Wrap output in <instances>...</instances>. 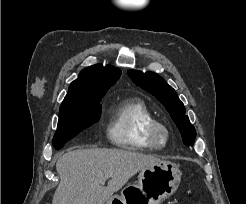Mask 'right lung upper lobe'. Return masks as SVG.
Returning <instances> with one entry per match:
<instances>
[{
	"instance_id": "obj_1",
	"label": "right lung upper lobe",
	"mask_w": 246,
	"mask_h": 204,
	"mask_svg": "<svg viewBox=\"0 0 246 204\" xmlns=\"http://www.w3.org/2000/svg\"><path fill=\"white\" fill-rule=\"evenodd\" d=\"M121 71L112 66L96 64L85 68L73 81L62 104L87 100L90 97L104 96L106 91L119 79Z\"/></svg>"
}]
</instances>
